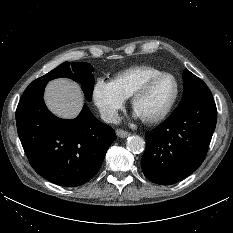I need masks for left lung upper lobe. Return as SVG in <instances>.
<instances>
[{
	"instance_id": "left-lung-upper-lobe-1",
	"label": "left lung upper lobe",
	"mask_w": 233,
	"mask_h": 233,
	"mask_svg": "<svg viewBox=\"0 0 233 233\" xmlns=\"http://www.w3.org/2000/svg\"><path fill=\"white\" fill-rule=\"evenodd\" d=\"M183 81H184L183 97L180 104L175 110L198 99L212 97V94L209 88L207 87V85L187 69H185L183 72Z\"/></svg>"
}]
</instances>
